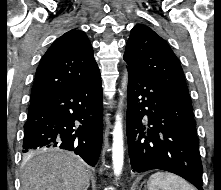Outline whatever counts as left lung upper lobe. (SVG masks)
<instances>
[{"label": "left lung upper lobe", "mask_w": 221, "mask_h": 190, "mask_svg": "<svg viewBox=\"0 0 221 190\" xmlns=\"http://www.w3.org/2000/svg\"><path fill=\"white\" fill-rule=\"evenodd\" d=\"M124 59L129 69L149 76L184 102L192 104L177 57L168 43L149 27L134 26Z\"/></svg>", "instance_id": "left-lung-upper-lobe-1"}]
</instances>
